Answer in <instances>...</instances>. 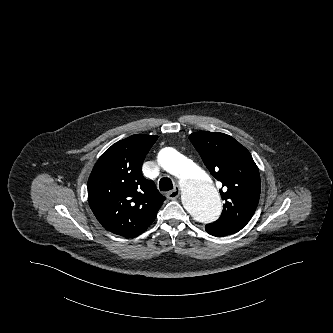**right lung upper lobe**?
<instances>
[{
	"instance_id": "cb5924a9",
	"label": "right lung upper lobe",
	"mask_w": 333,
	"mask_h": 333,
	"mask_svg": "<svg viewBox=\"0 0 333 333\" xmlns=\"http://www.w3.org/2000/svg\"><path fill=\"white\" fill-rule=\"evenodd\" d=\"M158 136L136 134L113 144L96 162L88 180L91 210L108 231L135 237L156 218L165 198L141 173Z\"/></svg>"
}]
</instances>
